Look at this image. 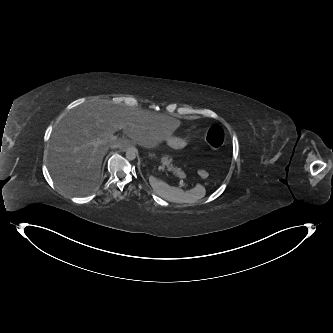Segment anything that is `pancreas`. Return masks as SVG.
<instances>
[{
    "mask_svg": "<svg viewBox=\"0 0 333 333\" xmlns=\"http://www.w3.org/2000/svg\"><path fill=\"white\" fill-rule=\"evenodd\" d=\"M160 163H161L163 168L166 166L167 169L169 171H172L173 174H175L176 176H178L180 178H184L186 176L184 171L181 168L175 167V165L173 164V159L170 155H164L161 158ZM176 170L178 171L177 173L175 172Z\"/></svg>",
    "mask_w": 333,
    "mask_h": 333,
    "instance_id": "cf45deb5",
    "label": "pancreas"
}]
</instances>
